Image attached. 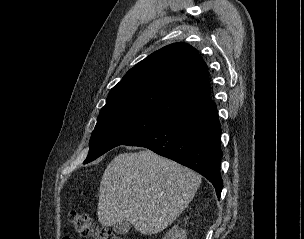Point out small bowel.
I'll return each instance as SVG.
<instances>
[{
    "instance_id": "obj_1",
    "label": "small bowel",
    "mask_w": 304,
    "mask_h": 239,
    "mask_svg": "<svg viewBox=\"0 0 304 239\" xmlns=\"http://www.w3.org/2000/svg\"><path fill=\"white\" fill-rule=\"evenodd\" d=\"M63 239H72V238L67 236V237H64Z\"/></svg>"
}]
</instances>
